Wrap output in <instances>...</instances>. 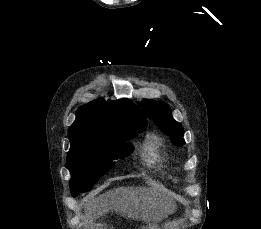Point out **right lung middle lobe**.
Instances as JSON below:
<instances>
[{
  "instance_id": "right-lung-middle-lobe-1",
  "label": "right lung middle lobe",
  "mask_w": 261,
  "mask_h": 229,
  "mask_svg": "<svg viewBox=\"0 0 261 229\" xmlns=\"http://www.w3.org/2000/svg\"><path fill=\"white\" fill-rule=\"evenodd\" d=\"M146 125L128 124L114 128L115 135L122 143H83L71 146L67 155L71 180L70 190L73 197L89 191L98 179L114 165V160L125 157L133 146L123 143L134 138Z\"/></svg>"
}]
</instances>
